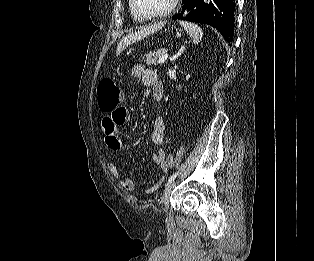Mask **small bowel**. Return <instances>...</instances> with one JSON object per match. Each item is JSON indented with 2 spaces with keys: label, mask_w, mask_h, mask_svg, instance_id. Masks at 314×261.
<instances>
[{
  "label": "small bowel",
  "mask_w": 314,
  "mask_h": 261,
  "mask_svg": "<svg viewBox=\"0 0 314 261\" xmlns=\"http://www.w3.org/2000/svg\"><path fill=\"white\" fill-rule=\"evenodd\" d=\"M131 76L134 78H141L145 85L152 88L154 99L160 100L157 98V95L159 93L163 94V86L155 71L147 69L141 63H137L131 68ZM129 120L130 114L124 108L112 109L110 116H105L103 119L102 131L106 134V144L111 150L118 151L122 148V139L119 136L118 131H122V127H125V124L128 123ZM150 139L151 142L157 146L164 143L165 121L161 116H158L154 120ZM165 157V151L160 149L157 153L152 155V160L165 170ZM108 170L111 175L120 182L125 191L133 193L138 190V187L134 184L133 180L130 177L123 175L120 168L116 164L109 163ZM156 188L157 185L150 186L147 188V192H153Z\"/></svg>",
  "instance_id": "c3829d8e"
}]
</instances>
